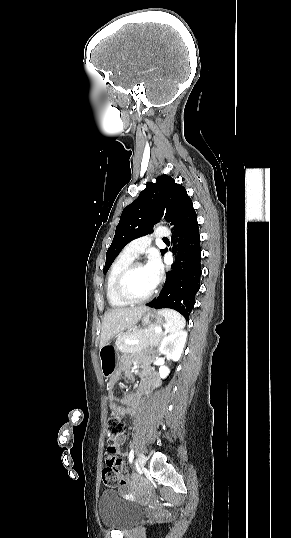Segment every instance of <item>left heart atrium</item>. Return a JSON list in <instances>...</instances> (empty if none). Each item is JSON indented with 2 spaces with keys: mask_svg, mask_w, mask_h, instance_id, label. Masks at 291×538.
<instances>
[{
  "mask_svg": "<svg viewBox=\"0 0 291 538\" xmlns=\"http://www.w3.org/2000/svg\"><path fill=\"white\" fill-rule=\"evenodd\" d=\"M146 270L151 275L154 283H158L162 275V264L160 258L156 254L150 255L147 264L145 265Z\"/></svg>",
  "mask_w": 291,
  "mask_h": 538,
  "instance_id": "left-heart-atrium-1",
  "label": "left heart atrium"
}]
</instances>
